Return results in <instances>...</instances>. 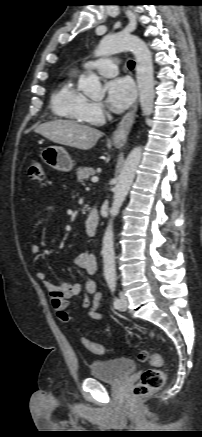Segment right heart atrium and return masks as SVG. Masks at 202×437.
Returning a JSON list of instances; mask_svg holds the SVG:
<instances>
[{"instance_id":"right-heart-atrium-1","label":"right heart atrium","mask_w":202,"mask_h":437,"mask_svg":"<svg viewBox=\"0 0 202 437\" xmlns=\"http://www.w3.org/2000/svg\"><path fill=\"white\" fill-rule=\"evenodd\" d=\"M86 114L90 121H101L104 117V106L99 102L89 101L86 106Z\"/></svg>"}]
</instances>
